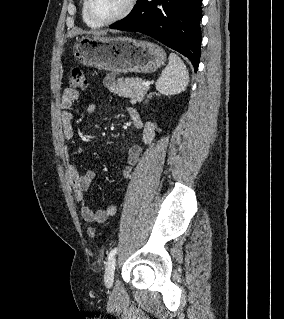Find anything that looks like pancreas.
<instances>
[{
  "instance_id": "pancreas-1",
  "label": "pancreas",
  "mask_w": 284,
  "mask_h": 319,
  "mask_svg": "<svg viewBox=\"0 0 284 319\" xmlns=\"http://www.w3.org/2000/svg\"><path fill=\"white\" fill-rule=\"evenodd\" d=\"M105 85L115 95L130 98L133 102H141L149 90L148 86H144L143 80L138 77L119 78L115 81V77L107 75Z\"/></svg>"
}]
</instances>
